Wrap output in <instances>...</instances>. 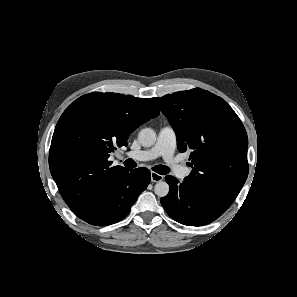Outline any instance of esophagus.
<instances>
[{
	"mask_svg": "<svg viewBox=\"0 0 297 297\" xmlns=\"http://www.w3.org/2000/svg\"><path fill=\"white\" fill-rule=\"evenodd\" d=\"M164 179L163 175H160L156 172H151V181L152 182H160Z\"/></svg>",
	"mask_w": 297,
	"mask_h": 297,
	"instance_id": "obj_1",
	"label": "esophagus"
}]
</instances>
